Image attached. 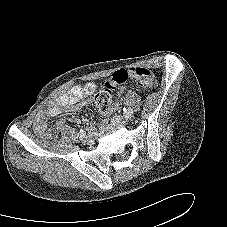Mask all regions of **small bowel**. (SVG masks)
<instances>
[{"instance_id":"obj_1","label":"small bowel","mask_w":227,"mask_h":227,"mask_svg":"<svg viewBox=\"0 0 227 227\" xmlns=\"http://www.w3.org/2000/svg\"><path fill=\"white\" fill-rule=\"evenodd\" d=\"M96 86L93 83H85L83 85H76L72 87L68 92L62 93L55 100L48 103L47 107L41 110L35 117L34 120V130L41 137H47L51 135L50 131L47 129V119L49 117L59 115L64 109L68 112H75L80 110L85 104L89 102L88 97H90ZM127 87H122L121 92H125ZM117 108L116 104L110 106L109 111L115 110ZM108 111V112H109ZM69 120L75 121L74 118L69 117ZM64 122L62 120L55 123V130H60L63 127Z\"/></svg>"}]
</instances>
